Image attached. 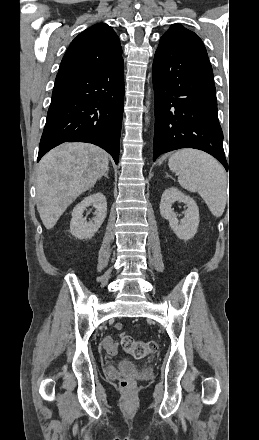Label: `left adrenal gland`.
Wrapping results in <instances>:
<instances>
[{"label":"left adrenal gland","instance_id":"obj_1","mask_svg":"<svg viewBox=\"0 0 259 440\" xmlns=\"http://www.w3.org/2000/svg\"><path fill=\"white\" fill-rule=\"evenodd\" d=\"M165 174H166L165 177H171L167 172Z\"/></svg>","mask_w":259,"mask_h":440}]
</instances>
